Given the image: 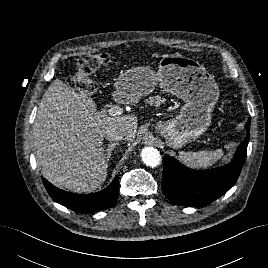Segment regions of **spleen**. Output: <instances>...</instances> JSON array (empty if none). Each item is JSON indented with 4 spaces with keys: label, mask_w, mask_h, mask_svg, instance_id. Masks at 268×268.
I'll list each match as a JSON object with an SVG mask.
<instances>
[{
    "label": "spleen",
    "mask_w": 268,
    "mask_h": 268,
    "mask_svg": "<svg viewBox=\"0 0 268 268\" xmlns=\"http://www.w3.org/2000/svg\"><path fill=\"white\" fill-rule=\"evenodd\" d=\"M224 155L222 149L215 151L179 152V159L187 166L195 169H203L211 166Z\"/></svg>",
    "instance_id": "1"
}]
</instances>
